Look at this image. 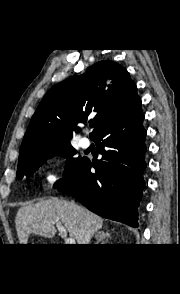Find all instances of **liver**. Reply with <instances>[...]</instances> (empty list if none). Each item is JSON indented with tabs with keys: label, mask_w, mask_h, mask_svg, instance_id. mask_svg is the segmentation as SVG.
I'll use <instances>...</instances> for the list:
<instances>
[{
	"label": "liver",
	"mask_w": 180,
	"mask_h": 294,
	"mask_svg": "<svg viewBox=\"0 0 180 294\" xmlns=\"http://www.w3.org/2000/svg\"><path fill=\"white\" fill-rule=\"evenodd\" d=\"M54 222H62L79 245L89 244L94 233L103 226L101 217L74 202L43 199L18 210L15 226L20 244H27L30 234L54 237Z\"/></svg>",
	"instance_id": "obj_1"
}]
</instances>
